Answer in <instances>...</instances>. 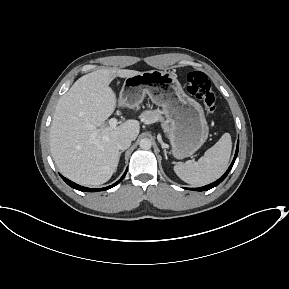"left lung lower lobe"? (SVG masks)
I'll list each match as a JSON object with an SVG mask.
<instances>
[{
	"label": "left lung lower lobe",
	"instance_id": "obj_1",
	"mask_svg": "<svg viewBox=\"0 0 289 289\" xmlns=\"http://www.w3.org/2000/svg\"><path fill=\"white\" fill-rule=\"evenodd\" d=\"M238 149H239V142L237 143V148H236V152H235V156H234V159L231 163V165L229 166L228 170L224 173V175L219 178L217 181L209 184V185H206V186H203V187H200V188H192L190 190H194V191H206V190H209L215 186H217L218 184H220L225 178L226 176L228 175L229 171L231 170L235 160H236V157H237V154H238Z\"/></svg>",
	"mask_w": 289,
	"mask_h": 289
}]
</instances>
